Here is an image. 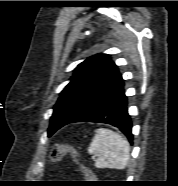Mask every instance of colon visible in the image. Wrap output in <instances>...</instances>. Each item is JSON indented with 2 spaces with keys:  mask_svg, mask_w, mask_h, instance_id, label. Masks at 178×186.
Here are the masks:
<instances>
[{
  "mask_svg": "<svg viewBox=\"0 0 178 186\" xmlns=\"http://www.w3.org/2000/svg\"><path fill=\"white\" fill-rule=\"evenodd\" d=\"M71 155L79 164V167L81 170L85 173L88 172L87 168L85 167L84 164L81 163L79 154L77 150L68 144H54L50 150V160L51 162H58L60 161L65 155Z\"/></svg>",
  "mask_w": 178,
  "mask_h": 186,
  "instance_id": "obj_1",
  "label": "colon"
}]
</instances>
